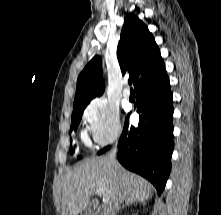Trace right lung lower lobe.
Masks as SVG:
<instances>
[{
  "mask_svg": "<svg viewBox=\"0 0 221 215\" xmlns=\"http://www.w3.org/2000/svg\"><path fill=\"white\" fill-rule=\"evenodd\" d=\"M138 127L125 121L118 141V160L128 170L148 179L160 195L171 171L173 103L166 70L135 88ZM110 146L100 150L103 154Z\"/></svg>",
  "mask_w": 221,
  "mask_h": 215,
  "instance_id": "obj_1",
  "label": "right lung lower lobe"
}]
</instances>
